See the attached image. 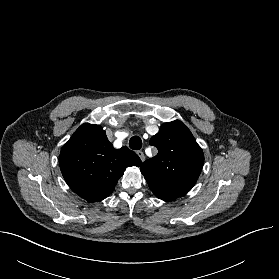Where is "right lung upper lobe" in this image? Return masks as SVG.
<instances>
[{"instance_id":"right-lung-upper-lobe-1","label":"right lung upper lobe","mask_w":279,"mask_h":279,"mask_svg":"<svg viewBox=\"0 0 279 279\" xmlns=\"http://www.w3.org/2000/svg\"><path fill=\"white\" fill-rule=\"evenodd\" d=\"M59 163L70 188L96 202L108 197L125 169L140 166L141 160L127 147L115 149L100 125L84 123L63 146Z\"/></svg>"}]
</instances>
